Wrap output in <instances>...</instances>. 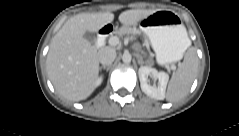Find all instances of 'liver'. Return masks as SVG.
I'll list each match as a JSON object with an SVG mask.
<instances>
[{
	"label": "liver",
	"mask_w": 239,
	"mask_h": 136,
	"mask_svg": "<svg viewBox=\"0 0 239 136\" xmlns=\"http://www.w3.org/2000/svg\"><path fill=\"white\" fill-rule=\"evenodd\" d=\"M153 12L127 10L118 19L121 24L129 27ZM113 20L114 14L110 12L77 14L68 19L52 38L46 68L55 90L63 98L81 101L94 91L99 74L98 52L83 36L87 31H99Z\"/></svg>",
	"instance_id": "6515ba94"
}]
</instances>
